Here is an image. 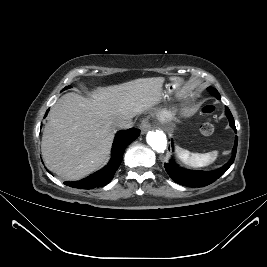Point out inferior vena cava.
Masks as SVG:
<instances>
[{
	"mask_svg": "<svg viewBox=\"0 0 267 267\" xmlns=\"http://www.w3.org/2000/svg\"><path fill=\"white\" fill-rule=\"evenodd\" d=\"M114 127L117 129H129L133 127V122L130 118H122L114 122Z\"/></svg>",
	"mask_w": 267,
	"mask_h": 267,
	"instance_id": "inferior-vena-cava-1",
	"label": "inferior vena cava"
}]
</instances>
